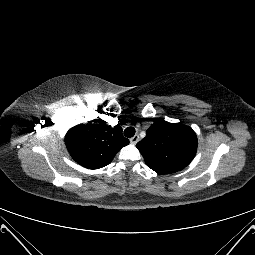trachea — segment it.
Here are the masks:
<instances>
[{"mask_svg":"<svg viewBox=\"0 0 255 255\" xmlns=\"http://www.w3.org/2000/svg\"><path fill=\"white\" fill-rule=\"evenodd\" d=\"M125 137H133L135 135V128L134 127H128L124 130Z\"/></svg>","mask_w":255,"mask_h":255,"instance_id":"3493384b","label":"trachea"}]
</instances>
